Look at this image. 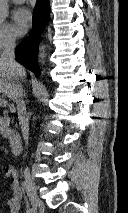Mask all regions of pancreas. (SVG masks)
Instances as JSON below:
<instances>
[{
	"mask_svg": "<svg viewBox=\"0 0 128 213\" xmlns=\"http://www.w3.org/2000/svg\"><path fill=\"white\" fill-rule=\"evenodd\" d=\"M9 124H10V118L9 117H0V133L3 136H7L9 132Z\"/></svg>",
	"mask_w": 128,
	"mask_h": 213,
	"instance_id": "cf45deb5",
	"label": "pancreas"
}]
</instances>
